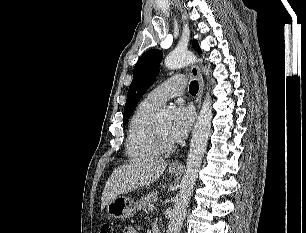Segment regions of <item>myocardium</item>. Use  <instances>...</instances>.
<instances>
[{
    "label": "myocardium",
    "mask_w": 306,
    "mask_h": 233,
    "mask_svg": "<svg viewBox=\"0 0 306 233\" xmlns=\"http://www.w3.org/2000/svg\"><path fill=\"white\" fill-rule=\"evenodd\" d=\"M152 133L155 145L160 152L167 153L175 149L174 144L163 137L155 124L153 125Z\"/></svg>",
    "instance_id": "1"
}]
</instances>
